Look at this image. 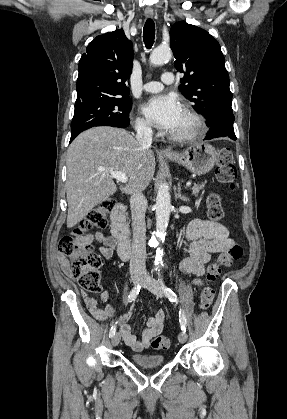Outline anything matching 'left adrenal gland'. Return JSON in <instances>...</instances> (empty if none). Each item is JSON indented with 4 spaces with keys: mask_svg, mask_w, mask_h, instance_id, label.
I'll return each mask as SVG.
<instances>
[{
    "mask_svg": "<svg viewBox=\"0 0 287 419\" xmlns=\"http://www.w3.org/2000/svg\"><path fill=\"white\" fill-rule=\"evenodd\" d=\"M175 199H181L184 202H188L189 199L181 195V186L178 184V192L175 194Z\"/></svg>",
    "mask_w": 287,
    "mask_h": 419,
    "instance_id": "a2214340",
    "label": "left adrenal gland"
}]
</instances>
